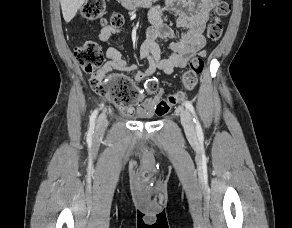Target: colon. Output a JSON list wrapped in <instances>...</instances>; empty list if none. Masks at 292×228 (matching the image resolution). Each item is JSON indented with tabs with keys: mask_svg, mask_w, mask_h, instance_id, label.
<instances>
[{
	"mask_svg": "<svg viewBox=\"0 0 292 228\" xmlns=\"http://www.w3.org/2000/svg\"><path fill=\"white\" fill-rule=\"evenodd\" d=\"M231 11V4L227 0H217L214 21L208 26L207 37L212 41L220 39L223 31L221 19ZM105 0H87L82 6L81 16L87 21L102 20L104 27H121L123 18L118 13H113L107 18ZM75 56L82 69L91 73L90 84L93 91L99 96L123 107H131L140 98V92L124 75L115 74L110 77L102 75L100 69L103 64V53L100 45L92 40L85 41L75 49ZM204 62L200 57L190 60L188 69L182 75V85L186 90H192L202 73ZM150 90L157 88L155 80L148 82ZM183 92L169 95L162 99L156 106L157 115L168 113L172 107L184 100Z\"/></svg>",
	"mask_w": 292,
	"mask_h": 228,
	"instance_id": "colon-1",
	"label": "colon"
}]
</instances>
